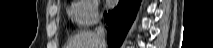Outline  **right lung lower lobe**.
<instances>
[{"instance_id":"obj_1","label":"right lung lower lobe","mask_w":213,"mask_h":48,"mask_svg":"<svg viewBox=\"0 0 213 48\" xmlns=\"http://www.w3.org/2000/svg\"><path fill=\"white\" fill-rule=\"evenodd\" d=\"M141 0H119L118 6L104 13L108 25V45L119 48L135 19Z\"/></svg>"}]
</instances>
